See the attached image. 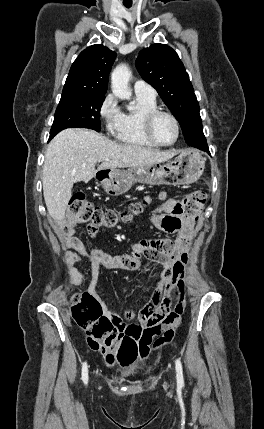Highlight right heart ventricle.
<instances>
[{
	"label": "right heart ventricle",
	"instance_id": "right-heart-ventricle-1",
	"mask_svg": "<svg viewBox=\"0 0 264 429\" xmlns=\"http://www.w3.org/2000/svg\"><path fill=\"white\" fill-rule=\"evenodd\" d=\"M158 108L155 97L136 95V108L131 111L121 112L115 138L126 145L154 148V145L145 135L143 121L145 115Z\"/></svg>",
	"mask_w": 264,
	"mask_h": 429
}]
</instances>
